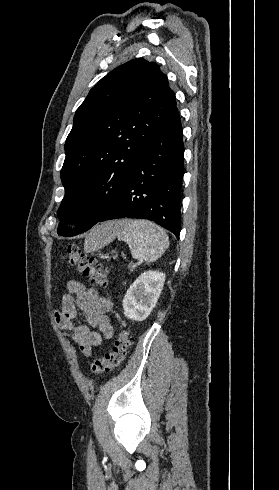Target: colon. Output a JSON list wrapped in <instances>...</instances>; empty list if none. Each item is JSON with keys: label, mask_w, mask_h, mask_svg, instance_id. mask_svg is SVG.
<instances>
[{"label": "colon", "mask_w": 279, "mask_h": 490, "mask_svg": "<svg viewBox=\"0 0 279 490\" xmlns=\"http://www.w3.org/2000/svg\"><path fill=\"white\" fill-rule=\"evenodd\" d=\"M63 257L71 266L75 267L79 273L97 288H105L109 284L108 272L92 256L83 253L80 248L71 243L67 246ZM133 343V335L129 330L124 329L117 333L114 339L113 350L98 357L91 362L90 370L95 374H102L111 369L117 368L129 353Z\"/></svg>", "instance_id": "1"}]
</instances>
